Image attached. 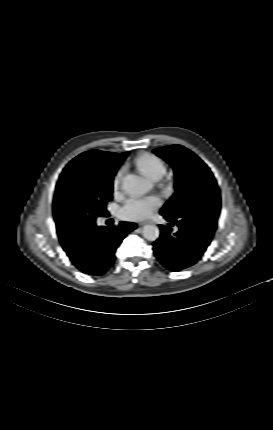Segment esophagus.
<instances>
[{
  "label": "esophagus",
  "mask_w": 273,
  "mask_h": 430,
  "mask_svg": "<svg viewBox=\"0 0 273 430\" xmlns=\"http://www.w3.org/2000/svg\"><path fill=\"white\" fill-rule=\"evenodd\" d=\"M152 222H150V221H147V222H141L139 225L140 226H143V225H146V224H151Z\"/></svg>",
  "instance_id": "1"
}]
</instances>
